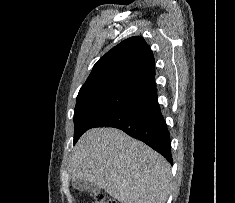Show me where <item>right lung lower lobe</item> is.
Listing matches in <instances>:
<instances>
[{"label": "right lung lower lobe", "instance_id": "right-lung-lower-lobe-1", "mask_svg": "<svg viewBox=\"0 0 235 203\" xmlns=\"http://www.w3.org/2000/svg\"><path fill=\"white\" fill-rule=\"evenodd\" d=\"M94 127L121 129L162 154L171 164L170 135L158 105L156 85L99 120Z\"/></svg>", "mask_w": 235, "mask_h": 203}]
</instances>
